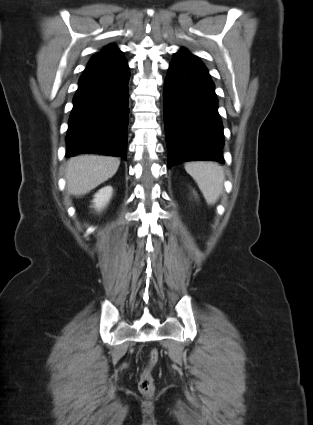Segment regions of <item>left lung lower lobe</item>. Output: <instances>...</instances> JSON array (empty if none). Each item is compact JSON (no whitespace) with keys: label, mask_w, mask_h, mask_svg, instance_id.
Here are the masks:
<instances>
[{"label":"left lung lower lobe","mask_w":313,"mask_h":425,"mask_svg":"<svg viewBox=\"0 0 313 425\" xmlns=\"http://www.w3.org/2000/svg\"><path fill=\"white\" fill-rule=\"evenodd\" d=\"M168 167L187 161L223 162V126L215 86L205 65L175 54L164 87Z\"/></svg>","instance_id":"1"}]
</instances>
